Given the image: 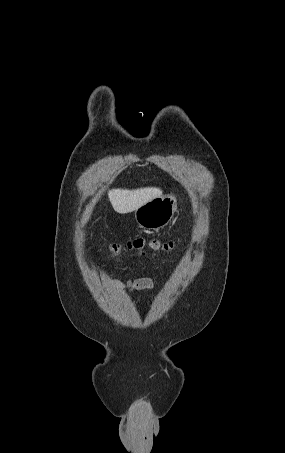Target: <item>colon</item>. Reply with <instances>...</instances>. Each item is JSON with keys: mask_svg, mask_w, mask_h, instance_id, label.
<instances>
[{"mask_svg": "<svg viewBox=\"0 0 285 453\" xmlns=\"http://www.w3.org/2000/svg\"><path fill=\"white\" fill-rule=\"evenodd\" d=\"M179 242V239H173L168 241H160L157 239L145 240L144 238H135L128 241L126 244L114 243L110 246V251L114 256H119L123 250H135L139 253H144V249H150L155 255L158 252H169L171 251L176 244Z\"/></svg>", "mask_w": 285, "mask_h": 453, "instance_id": "5ec220e1", "label": "colon"}]
</instances>
